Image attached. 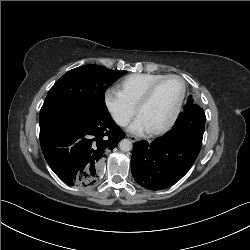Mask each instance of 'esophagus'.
<instances>
[{
  "instance_id": "1",
  "label": "esophagus",
  "mask_w": 250,
  "mask_h": 250,
  "mask_svg": "<svg viewBox=\"0 0 250 250\" xmlns=\"http://www.w3.org/2000/svg\"><path fill=\"white\" fill-rule=\"evenodd\" d=\"M127 138H128L130 141H132V142L138 141V138L135 137V136H133V135H127Z\"/></svg>"
}]
</instances>
